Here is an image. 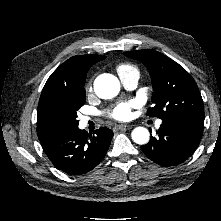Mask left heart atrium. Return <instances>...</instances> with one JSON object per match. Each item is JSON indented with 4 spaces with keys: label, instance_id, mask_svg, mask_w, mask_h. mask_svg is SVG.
Here are the masks:
<instances>
[{
    "label": "left heart atrium",
    "instance_id": "left-heart-atrium-1",
    "mask_svg": "<svg viewBox=\"0 0 221 221\" xmlns=\"http://www.w3.org/2000/svg\"><path fill=\"white\" fill-rule=\"evenodd\" d=\"M137 106L135 100L120 102L108 113L109 117L119 121L129 120L132 116V109Z\"/></svg>",
    "mask_w": 221,
    "mask_h": 221
}]
</instances>
